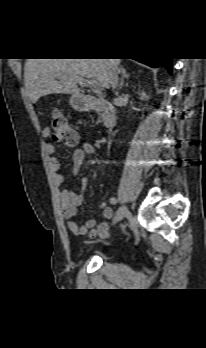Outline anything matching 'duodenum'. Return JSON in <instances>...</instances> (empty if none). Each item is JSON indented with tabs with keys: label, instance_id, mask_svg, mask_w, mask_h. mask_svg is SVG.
I'll return each instance as SVG.
<instances>
[{
	"label": "duodenum",
	"instance_id": "duodenum-1",
	"mask_svg": "<svg viewBox=\"0 0 206 348\" xmlns=\"http://www.w3.org/2000/svg\"><path fill=\"white\" fill-rule=\"evenodd\" d=\"M78 106L86 111L94 110L98 112L102 117V123L105 127H111L114 124L115 109L109 101L103 98L79 95Z\"/></svg>",
	"mask_w": 206,
	"mask_h": 348
}]
</instances>
